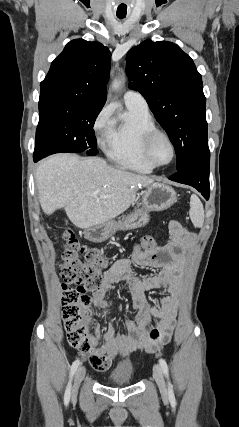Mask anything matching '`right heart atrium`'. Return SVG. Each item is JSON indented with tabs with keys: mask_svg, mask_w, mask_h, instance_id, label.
<instances>
[{
	"mask_svg": "<svg viewBox=\"0 0 239 427\" xmlns=\"http://www.w3.org/2000/svg\"><path fill=\"white\" fill-rule=\"evenodd\" d=\"M112 109L110 107H105L95 118L93 124V130L97 137V140L100 144H104L112 128Z\"/></svg>",
	"mask_w": 239,
	"mask_h": 427,
	"instance_id": "1",
	"label": "right heart atrium"
}]
</instances>
